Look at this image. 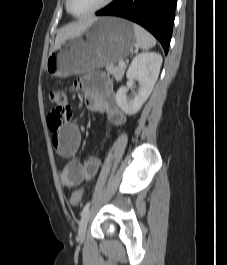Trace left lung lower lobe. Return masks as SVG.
I'll return each mask as SVG.
<instances>
[{"mask_svg": "<svg viewBox=\"0 0 227 265\" xmlns=\"http://www.w3.org/2000/svg\"><path fill=\"white\" fill-rule=\"evenodd\" d=\"M177 0H114L97 16H119L136 22L151 32L167 54L175 18Z\"/></svg>", "mask_w": 227, "mask_h": 265, "instance_id": "left-lung-lower-lobe-1", "label": "left lung lower lobe"}]
</instances>
